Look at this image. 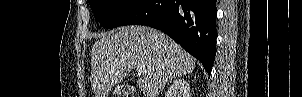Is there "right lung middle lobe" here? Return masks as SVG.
Here are the masks:
<instances>
[{
	"label": "right lung middle lobe",
	"mask_w": 302,
	"mask_h": 97,
	"mask_svg": "<svg viewBox=\"0 0 302 97\" xmlns=\"http://www.w3.org/2000/svg\"><path fill=\"white\" fill-rule=\"evenodd\" d=\"M145 0H89L96 20L103 28H115L133 13Z\"/></svg>",
	"instance_id": "right-lung-middle-lobe-1"
}]
</instances>
